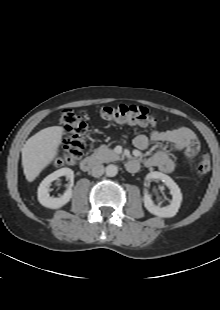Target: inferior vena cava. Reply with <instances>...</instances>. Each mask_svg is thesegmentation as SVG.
<instances>
[{"label":"inferior vena cava","mask_w":220,"mask_h":310,"mask_svg":"<svg viewBox=\"0 0 220 310\" xmlns=\"http://www.w3.org/2000/svg\"><path fill=\"white\" fill-rule=\"evenodd\" d=\"M104 171L105 168L102 164H96L95 166L92 167L90 173L93 177H100L103 175Z\"/></svg>","instance_id":"obj_1"}]
</instances>
